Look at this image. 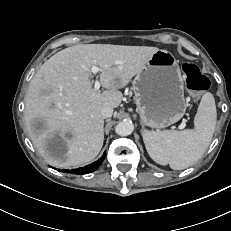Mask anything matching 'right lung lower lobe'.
<instances>
[{
  "mask_svg": "<svg viewBox=\"0 0 231 231\" xmlns=\"http://www.w3.org/2000/svg\"><path fill=\"white\" fill-rule=\"evenodd\" d=\"M105 156H106V153H104L103 156L98 161H95L92 164L87 165L85 167L78 168V169H72V170H62V172H67L71 174H87V173L93 172L97 170L98 167L102 164V162L105 159Z\"/></svg>",
  "mask_w": 231,
  "mask_h": 231,
  "instance_id": "1",
  "label": "right lung lower lobe"
}]
</instances>
